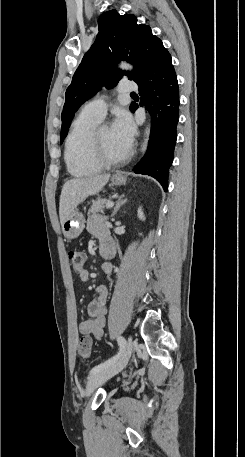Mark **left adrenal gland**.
Listing matches in <instances>:
<instances>
[{
	"instance_id": "a2214340",
	"label": "left adrenal gland",
	"mask_w": 245,
	"mask_h": 457,
	"mask_svg": "<svg viewBox=\"0 0 245 457\" xmlns=\"http://www.w3.org/2000/svg\"><path fill=\"white\" fill-rule=\"evenodd\" d=\"M123 196H125V194H122V196H119L118 200H116V204L114 206V210H113L111 216H114V214H116V212H118L120 206H122V204H124V202H126L127 198H123Z\"/></svg>"
}]
</instances>
